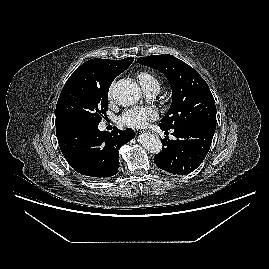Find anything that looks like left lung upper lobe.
<instances>
[{
  "label": "left lung upper lobe",
  "mask_w": 269,
  "mask_h": 269,
  "mask_svg": "<svg viewBox=\"0 0 269 269\" xmlns=\"http://www.w3.org/2000/svg\"><path fill=\"white\" fill-rule=\"evenodd\" d=\"M137 61L158 69L170 82L173 100L169 111L160 120V128L179 129L195 124L216 126L214 98L196 70L169 54L141 57Z\"/></svg>",
  "instance_id": "1"
}]
</instances>
